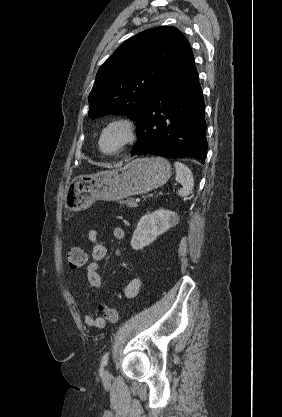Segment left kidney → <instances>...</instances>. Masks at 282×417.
I'll return each mask as SVG.
<instances>
[{"label": "left kidney", "mask_w": 282, "mask_h": 417, "mask_svg": "<svg viewBox=\"0 0 282 417\" xmlns=\"http://www.w3.org/2000/svg\"><path fill=\"white\" fill-rule=\"evenodd\" d=\"M178 223L179 217L174 211L158 209L150 215H143L132 235V249L139 251L143 247H148L157 239L158 235H163L170 227H176Z\"/></svg>", "instance_id": "obj_1"}]
</instances>
